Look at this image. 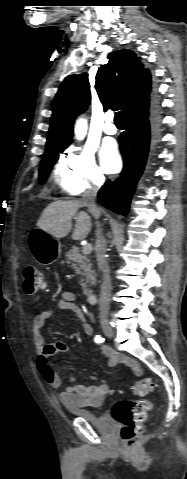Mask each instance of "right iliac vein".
Masks as SVG:
<instances>
[{
  "label": "right iliac vein",
  "instance_id": "right-iliac-vein-1",
  "mask_svg": "<svg viewBox=\"0 0 187 479\" xmlns=\"http://www.w3.org/2000/svg\"><path fill=\"white\" fill-rule=\"evenodd\" d=\"M101 328L107 337L111 338L114 336V331L112 327L108 324V322H103L101 324Z\"/></svg>",
  "mask_w": 187,
  "mask_h": 479
}]
</instances>
